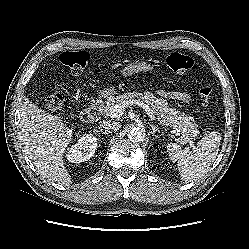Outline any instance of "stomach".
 <instances>
[{
  "instance_id": "obj_1",
  "label": "stomach",
  "mask_w": 249,
  "mask_h": 249,
  "mask_svg": "<svg viewBox=\"0 0 249 249\" xmlns=\"http://www.w3.org/2000/svg\"><path fill=\"white\" fill-rule=\"evenodd\" d=\"M153 69L154 65L148 61H133L125 64L120 73L122 77L126 78L132 76L133 74L152 71ZM100 93L103 97H110L116 93V89L113 85H110L104 88Z\"/></svg>"
}]
</instances>
